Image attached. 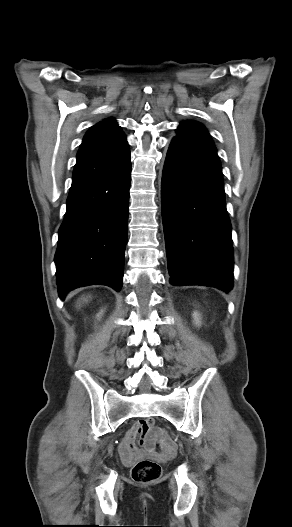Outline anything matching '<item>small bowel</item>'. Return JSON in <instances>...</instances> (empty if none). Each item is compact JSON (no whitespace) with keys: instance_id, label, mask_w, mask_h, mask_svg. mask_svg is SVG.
I'll return each mask as SVG.
<instances>
[{"instance_id":"1","label":"small bowel","mask_w":292,"mask_h":527,"mask_svg":"<svg viewBox=\"0 0 292 527\" xmlns=\"http://www.w3.org/2000/svg\"><path fill=\"white\" fill-rule=\"evenodd\" d=\"M158 438L160 451L154 450V439ZM174 446L163 427H156L153 431H145L141 423L136 424L126 434L124 440L119 445V454L124 461L125 469L130 470L134 466V461L149 455L152 464H167L174 454Z\"/></svg>"}]
</instances>
